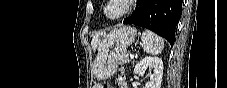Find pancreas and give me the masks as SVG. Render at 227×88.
Listing matches in <instances>:
<instances>
[{
	"instance_id": "obj_1",
	"label": "pancreas",
	"mask_w": 227,
	"mask_h": 88,
	"mask_svg": "<svg viewBox=\"0 0 227 88\" xmlns=\"http://www.w3.org/2000/svg\"><path fill=\"white\" fill-rule=\"evenodd\" d=\"M129 61H130L129 55H124L122 58L119 59V64L124 65Z\"/></svg>"
}]
</instances>
